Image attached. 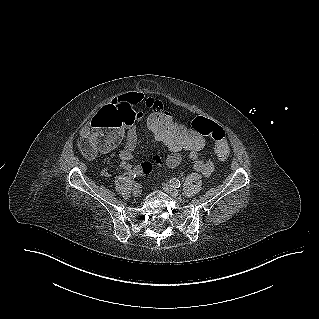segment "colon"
<instances>
[{"label": "colon", "instance_id": "1", "mask_svg": "<svg viewBox=\"0 0 319 319\" xmlns=\"http://www.w3.org/2000/svg\"><path fill=\"white\" fill-rule=\"evenodd\" d=\"M146 123L152 136L170 151L199 153L206 147L209 136L214 141L215 154L219 159L224 160L230 154L226 130L206 117L200 116L196 120L194 119L191 124L192 128H188L175 123L169 112L163 108L162 113L147 112ZM198 130L201 131L202 135L195 134V131ZM78 148L87 158H93L98 153L90 146L87 136L78 141ZM161 162L162 156L156 154L152 162L146 161L141 164L140 172L145 175L149 174L153 169V164Z\"/></svg>", "mask_w": 319, "mask_h": 319}]
</instances>
